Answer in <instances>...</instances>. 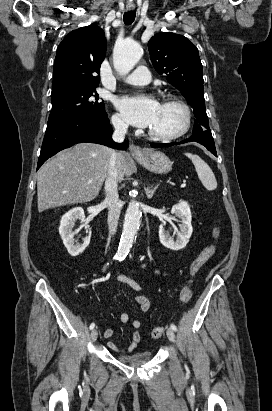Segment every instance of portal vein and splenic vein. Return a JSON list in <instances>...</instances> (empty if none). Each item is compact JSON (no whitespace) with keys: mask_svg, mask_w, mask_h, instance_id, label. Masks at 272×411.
<instances>
[{"mask_svg":"<svg viewBox=\"0 0 272 411\" xmlns=\"http://www.w3.org/2000/svg\"><path fill=\"white\" fill-rule=\"evenodd\" d=\"M186 186V183L181 184V188H184Z\"/></svg>","mask_w":272,"mask_h":411,"instance_id":"portal-vein-and-splenic-vein-1","label":"portal vein and splenic vein"}]
</instances>
